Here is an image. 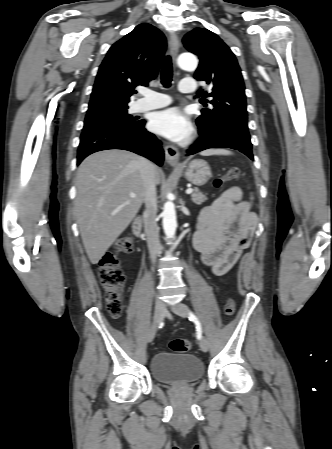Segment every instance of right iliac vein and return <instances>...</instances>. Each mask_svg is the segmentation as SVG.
<instances>
[{
  "label": "right iliac vein",
  "mask_w": 332,
  "mask_h": 449,
  "mask_svg": "<svg viewBox=\"0 0 332 449\" xmlns=\"http://www.w3.org/2000/svg\"><path fill=\"white\" fill-rule=\"evenodd\" d=\"M165 314H166L165 304L161 301H156L155 309H154V320H153V323L147 333V341L148 342L153 341V339L155 337L157 325L163 320Z\"/></svg>",
  "instance_id": "obj_1"
}]
</instances>
